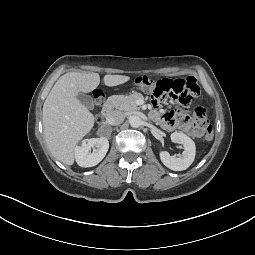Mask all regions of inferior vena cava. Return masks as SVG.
<instances>
[{
  "label": "inferior vena cava",
  "instance_id": "inferior-vena-cava-1",
  "mask_svg": "<svg viewBox=\"0 0 255 255\" xmlns=\"http://www.w3.org/2000/svg\"><path fill=\"white\" fill-rule=\"evenodd\" d=\"M124 119H125V114L121 111H113L106 118L107 123L110 125L121 124L124 121Z\"/></svg>",
  "mask_w": 255,
  "mask_h": 255
}]
</instances>
